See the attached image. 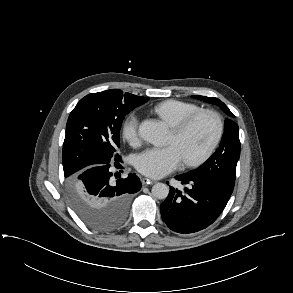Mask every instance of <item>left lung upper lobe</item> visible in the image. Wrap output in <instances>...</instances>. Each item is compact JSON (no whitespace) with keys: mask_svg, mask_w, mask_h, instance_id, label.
I'll return each instance as SVG.
<instances>
[{"mask_svg":"<svg viewBox=\"0 0 293 293\" xmlns=\"http://www.w3.org/2000/svg\"><path fill=\"white\" fill-rule=\"evenodd\" d=\"M194 98L220 107L229 117H234L229 108L218 98L195 95ZM238 125L228 118L225 120L224 135L216 152L199 168L189 172L201 177L217 179L234 187L236 165L240 157Z\"/></svg>","mask_w":293,"mask_h":293,"instance_id":"obj_1","label":"left lung upper lobe"}]
</instances>
